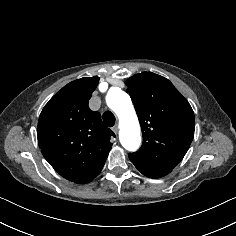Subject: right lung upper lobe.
Instances as JSON below:
<instances>
[{
    "mask_svg": "<svg viewBox=\"0 0 236 236\" xmlns=\"http://www.w3.org/2000/svg\"><path fill=\"white\" fill-rule=\"evenodd\" d=\"M99 77L70 82L43 108L38 144L50 165L64 178L80 182L97 176L112 147L114 133L91 111L88 101Z\"/></svg>",
    "mask_w": 236,
    "mask_h": 236,
    "instance_id": "1",
    "label": "right lung upper lobe"
}]
</instances>
